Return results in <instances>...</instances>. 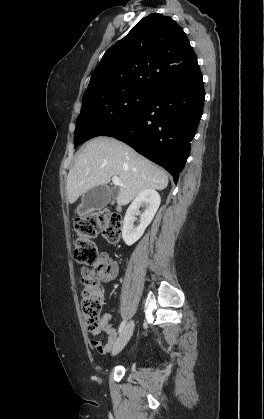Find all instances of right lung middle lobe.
<instances>
[{
    "mask_svg": "<svg viewBox=\"0 0 264 419\" xmlns=\"http://www.w3.org/2000/svg\"><path fill=\"white\" fill-rule=\"evenodd\" d=\"M152 91L130 88L94 92L83 97L81 113L74 135L75 147L116 126L135 113L151 96Z\"/></svg>",
    "mask_w": 264,
    "mask_h": 419,
    "instance_id": "dd1d6c3e",
    "label": "right lung middle lobe"
}]
</instances>
